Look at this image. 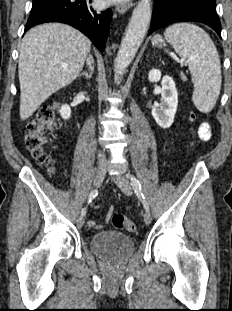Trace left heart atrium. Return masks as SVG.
Masks as SVG:
<instances>
[{"instance_id":"1","label":"left heart atrium","mask_w":232,"mask_h":311,"mask_svg":"<svg viewBox=\"0 0 232 311\" xmlns=\"http://www.w3.org/2000/svg\"><path fill=\"white\" fill-rule=\"evenodd\" d=\"M122 1H125V0H107V2L109 3H116V2H122Z\"/></svg>"}]
</instances>
